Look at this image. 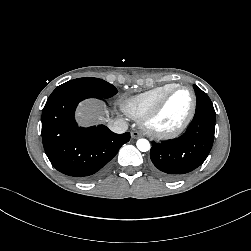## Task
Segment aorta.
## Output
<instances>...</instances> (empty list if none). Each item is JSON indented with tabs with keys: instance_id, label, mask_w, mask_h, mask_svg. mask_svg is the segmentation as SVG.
Wrapping results in <instances>:
<instances>
[{
	"instance_id": "762f6f07",
	"label": "aorta",
	"mask_w": 251,
	"mask_h": 251,
	"mask_svg": "<svg viewBox=\"0 0 251 251\" xmlns=\"http://www.w3.org/2000/svg\"><path fill=\"white\" fill-rule=\"evenodd\" d=\"M137 148L141 151V152H146L150 149V143L148 140L146 139H139L137 140Z\"/></svg>"
}]
</instances>
